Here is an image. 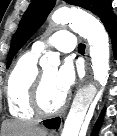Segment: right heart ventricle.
<instances>
[{"instance_id":"obj_1","label":"right heart ventricle","mask_w":117,"mask_h":136,"mask_svg":"<svg viewBox=\"0 0 117 136\" xmlns=\"http://www.w3.org/2000/svg\"><path fill=\"white\" fill-rule=\"evenodd\" d=\"M39 54L33 50L24 53L13 67L6 84V99L10 114L16 118L35 116L30 105L31 91L39 74Z\"/></svg>"}]
</instances>
